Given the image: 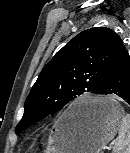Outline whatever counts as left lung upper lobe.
<instances>
[{"instance_id": "left-lung-upper-lobe-1", "label": "left lung upper lobe", "mask_w": 130, "mask_h": 153, "mask_svg": "<svg viewBox=\"0 0 130 153\" xmlns=\"http://www.w3.org/2000/svg\"><path fill=\"white\" fill-rule=\"evenodd\" d=\"M121 43L106 27L85 30L68 42L44 66L31 88L16 134L82 94H98L103 74Z\"/></svg>"}]
</instances>
